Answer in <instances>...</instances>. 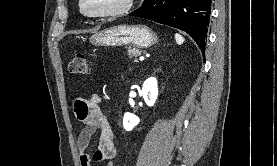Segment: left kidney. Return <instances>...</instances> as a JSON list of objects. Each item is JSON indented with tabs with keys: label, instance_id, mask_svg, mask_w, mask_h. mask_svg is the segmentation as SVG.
Wrapping results in <instances>:
<instances>
[{
	"label": "left kidney",
	"instance_id": "left-kidney-1",
	"mask_svg": "<svg viewBox=\"0 0 277 166\" xmlns=\"http://www.w3.org/2000/svg\"><path fill=\"white\" fill-rule=\"evenodd\" d=\"M142 95L148 106L155 104L158 97V83L156 78L150 77L143 83ZM139 122L140 119L136 115L126 113L123 118V127L126 131H131Z\"/></svg>",
	"mask_w": 277,
	"mask_h": 166
}]
</instances>
